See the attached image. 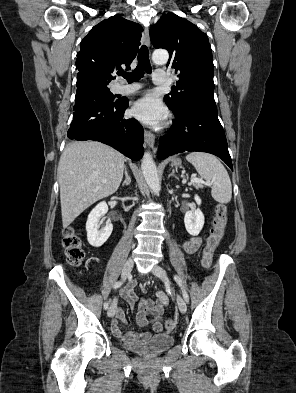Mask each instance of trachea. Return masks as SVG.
<instances>
[{
  "label": "trachea",
  "instance_id": "1",
  "mask_svg": "<svg viewBox=\"0 0 296 393\" xmlns=\"http://www.w3.org/2000/svg\"><path fill=\"white\" fill-rule=\"evenodd\" d=\"M151 69L149 51L148 48L143 45L138 52V65L136 69L131 73L121 72L119 75L123 76L128 81V83H131L140 80L144 72L150 74Z\"/></svg>",
  "mask_w": 296,
  "mask_h": 393
}]
</instances>
